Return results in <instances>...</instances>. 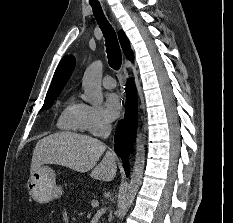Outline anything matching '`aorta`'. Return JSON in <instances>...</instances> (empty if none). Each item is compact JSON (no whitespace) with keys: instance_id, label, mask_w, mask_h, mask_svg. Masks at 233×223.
Wrapping results in <instances>:
<instances>
[{"instance_id":"obj_1","label":"aorta","mask_w":233,"mask_h":223,"mask_svg":"<svg viewBox=\"0 0 233 223\" xmlns=\"http://www.w3.org/2000/svg\"><path fill=\"white\" fill-rule=\"evenodd\" d=\"M102 72L103 64L98 60V62H93L87 70L84 72L82 88L84 90L83 100L84 102H89L92 106H101L103 104V94H102ZM145 165V147L143 133L137 131L136 137V157L135 163L133 165L130 183H128L127 191L124 197V203L122 205V215L130 207L135 199V195L138 191L139 185H141Z\"/></svg>"}]
</instances>
